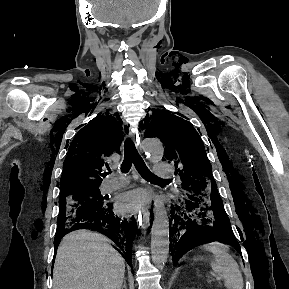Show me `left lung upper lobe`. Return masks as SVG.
Here are the masks:
<instances>
[{
	"mask_svg": "<svg viewBox=\"0 0 289 289\" xmlns=\"http://www.w3.org/2000/svg\"><path fill=\"white\" fill-rule=\"evenodd\" d=\"M145 137H158L165 145L164 154L175 162L182 181V193L193 187L205 191L217 185L203 142L195 128L186 120L163 110H155Z\"/></svg>",
	"mask_w": 289,
	"mask_h": 289,
	"instance_id": "left-lung-upper-lobe-1",
	"label": "left lung upper lobe"
}]
</instances>
